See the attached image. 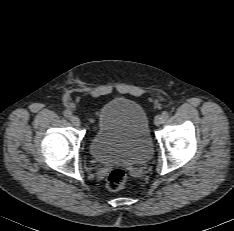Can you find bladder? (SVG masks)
I'll return each instance as SVG.
<instances>
[{"mask_svg": "<svg viewBox=\"0 0 234 231\" xmlns=\"http://www.w3.org/2000/svg\"><path fill=\"white\" fill-rule=\"evenodd\" d=\"M88 151L94 161L104 165L146 163L152 156L153 144L143 107L126 97L104 104Z\"/></svg>", "mask_w": 234, "mask_h": 231, "instance_id": "obj_1", "label": "bladder"}]
</instances>
